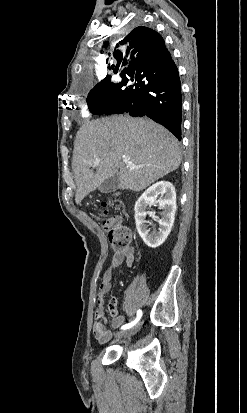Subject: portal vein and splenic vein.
<instances>
[{"label": "portal vein and splenic vein", "mask_w": 247, "mask_h": 413, "mask_svg": "<svg viewBox=\"0 0 247 413\" xmlns=\"http://www.w3.org/2000/svg\"><path fill=\"white\" fill-rule=\"evenodd\" d=\"M124 162H129V160H127V158H124ZM97 164H99V160H95V162H93V166H97Z\"/></svg>", "instance_id": "obj_1"}]
</instances>
